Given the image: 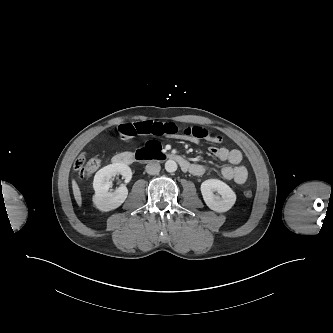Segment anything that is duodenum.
<instances>
[{
	"label": "duodenum",
	"instance_id": "1",
	"mask_svg": "<svg viewBox=\"0 0 333 333\" xmlns=\"http://www.w3.org/2000/svg\"><path fill=\"white\" fill-rule=\"evenodd\" d=\"M135 160L139 161H175L179 164L180 168L184 172H191L194 168V164L190 163L187 159L179 154L174 153H162L155 152L152 149H140L136 153L125 151L114 158V162L117 164H126L130 165Z\"/></svg>",
	"mask_w": 333,
	"mask_h": 333
}]
</instances>
